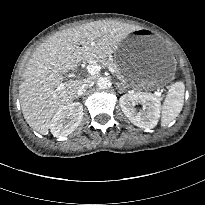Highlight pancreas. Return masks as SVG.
<instances>
[{"mask_svg": "<svg viewBox=\"0 0 205 205\" xmlns=\"http://www.w3.org/2000/svg\"><path fill=\"white\" fill-rule=\"evenodd\" d=\"M97 61L101 64L102 67L108 68L112 73L120 75V70L118 65L114 61L107 60L105 58L97 59Z\"/></svg>", "mask_w": 205, "mask_h": 205, "instance_id": "1", "label": "pancreas"}]
</instances>
